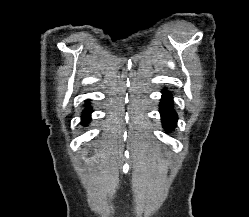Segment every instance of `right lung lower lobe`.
Segmentation results:
<instances>
[{
  "mask_svg": "<svg viewBox=\"0 0 249 217\" xmlns=\"http://www.w3.org/2000/svg\"><path fill=\"white\" fill-rule=\"evenodd\" d=\"M90 113H91V111L89 109H86L84 111V113H83V119H82L83 123L86 124L88 122V120L90 119V116H89Z\"/></svg>",
  "mask_w": 249,
  "mask_h": 217,
  "instance_id": "obj_1",
  "label": "right lung lower lobe"
}]
</instances>
